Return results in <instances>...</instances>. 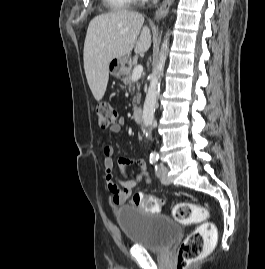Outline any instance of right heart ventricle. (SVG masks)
<instances>
[{"mask_svg":"<svg viewBox=\"0 0 265 269\" xmlns=\"http://www.w3.org/2000/svg\"><path fill=\"white\" fill-rule=\"evenodd\" d=\"M108 7L112 10H126L132 7L136 0H104Z\"/></svg>","mask_w":265,"mask_h":269,"instance_id":"e07e8e85","label":"right heart ventricle"}]
</instances>
